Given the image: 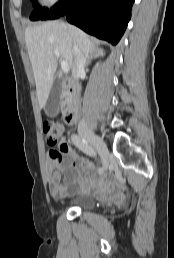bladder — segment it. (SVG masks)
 Returning <instances> with one entry per match:
<instances>
[{"mask_svg":"<svg viewBox=\"0 0 174 258\" xmlns=\"http://www.w3.org/2000/svg\"><path fill=\"white\" fill-rule=\"evenodd\" d=\"M70 204L78 210L93 212L97 208L98 201L90 194L79 193L70 199Z\"/></svg>","mask_w":174,"mask_h":258,"instance_id":"1","label":"bladder"}]
</instances>
